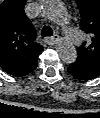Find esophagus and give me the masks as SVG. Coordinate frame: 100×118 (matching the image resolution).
<instances>
[{"label": "esophagus", "instance_id": "esophagus-1", "mask_svg": "<svg viewBox=\"0 0 100 118\" xmlns=\"http://www.w3.org/2000/svg\"><path fill=\"white\" fill-rule=\"evenodd\" d=\"M59 40V36L57 34H54L51 38H46L44 41L48 45H54Z\"/></svg>", "mask_w": 100, "mask_h": 118}]
</instances>
